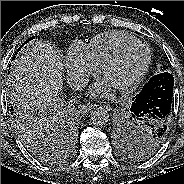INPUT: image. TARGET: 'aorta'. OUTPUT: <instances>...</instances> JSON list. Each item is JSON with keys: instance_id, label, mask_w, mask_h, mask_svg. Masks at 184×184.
I'll return each mask as SVG.
<instances>
[{"instance_id": "1", "label": "aorta", "mask_w": 184, "mask_h": 184, "mask_svg": "<svg viewBox=\"0 0 184 184\" xmlns=\"http://www.w3.org/2000/svg\"><path fill=\"white\" fill-rule=\"evenodd\" d=\"M91 121L94 125L102 126L109 121V113L102 107H96L91 111Z\"/></svg>"}]
</instances>
